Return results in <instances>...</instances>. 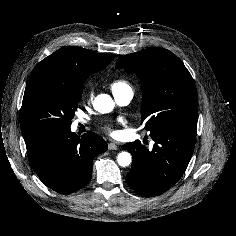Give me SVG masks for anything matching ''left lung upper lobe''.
Instances as JSON below:
<instances>
[{
	"label": "left lung upper lobe",
	"mask_w": 236,
	"mask_h": 236,
	"mask_svg": "<svg viewBox=\"0 0 236 236\" xmlns=\"http://www.w3.org/2000/svg\"><path fill=\"white\" fill-rule=\"evenodd\" d=\"M119 67L134 72L143 82L141 117L147 131L167 126L196 128L195 83L177 56L167 49H147L120 57Z\"/></svg>",
	"instance_id": "1"
}]
</instances>
